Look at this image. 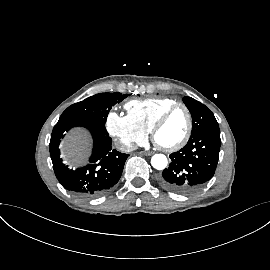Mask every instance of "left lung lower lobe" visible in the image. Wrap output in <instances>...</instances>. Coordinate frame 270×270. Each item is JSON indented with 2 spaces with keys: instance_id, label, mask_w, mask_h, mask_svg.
Returning a JSON list of instances; mask_svg holds the SVG:
<instances>
[{
  "instance_id": "1",
  "label": "left lung lower lobe",
  "mask_w": 270,
  "mask_h": 270,
  "mask_svg": "<svg viewBox=\"0 0 270 270\" xmlns=\"http://www.w3.org/2000/svg\"><path fill=\"white\" fill-rule=\"evenodd\" d=\"M220 145V131H204L190 138L182 149L170 154L161 184L178 194L196 192L213 177Z\"/></svg>"
}]
</instances>
